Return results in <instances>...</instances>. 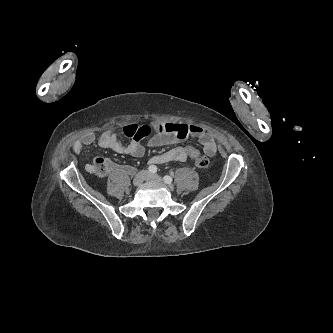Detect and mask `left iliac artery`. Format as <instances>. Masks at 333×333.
<instances>
[{
  "label": "left iliac artery",
  "mask_w": 333,
  "mask_h": 333,
  "mask_svg": "<svg viewBox=\"0 0 333 333\" xmlns=\"http://www.w3.org/2000/svg\"><path fill=\"white\" fill-rule=\"evenodd\" d=\"M163 180L166 184H171L173 181L172 177L168 175L164 176Z\"/></svg>",
  "instance_id": "44dca946"
}]
</instances>
